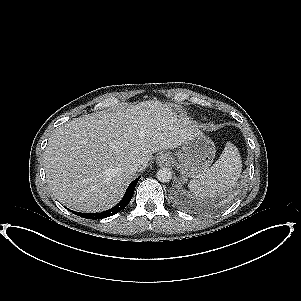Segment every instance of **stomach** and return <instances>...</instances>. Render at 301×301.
<instances>
[{
    "mask_svg": "<svg viewBox=\"0 0 301 301\" xmlns=\"http://www.w3.org/2000/svg\"><path fill=\"white\" fill-rule=\"evenodd\" d=\"M214 143L202 132L191 131L181 149L176 153L182 175L195 177L209 168L215 158Z\"/></svg>",
    "mask_w": 301,
    "mask_h": 301,
    "instance_id": "1",
    "label": "stomach"
}]
</instances>
